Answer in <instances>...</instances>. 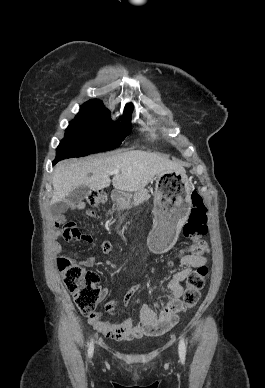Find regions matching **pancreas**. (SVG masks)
Wrapping results in <instances>:
<instances>
[{"label":"pancreas","instance_id":"1","mask_svg":"<svg viewBox=\"0 0 265 388\" xmlns=\"http://www.w3.org/2000/svg\"><path fill=\"white\" fill-rule=\"evenodd\" d=\"M149 198L150 196L148 194V190L141 188V190H138V192H135L134 194L133 206H139V204H142V202H145V200H149Z\"/></svg>","mask_w":265,"mask_h":388}]
</instances>
